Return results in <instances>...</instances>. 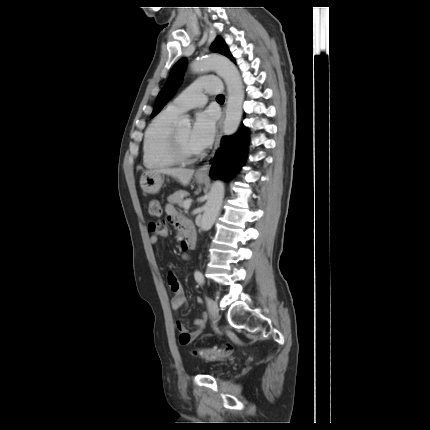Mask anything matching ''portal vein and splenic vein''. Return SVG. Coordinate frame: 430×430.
Masks as SVG:
<instances>
[{"label": "portal vein and splenic vein", "mask_w": 430, "mask_h": 430, "mask_svg": "<svg viewBox=\"0 0 430 430\" xmlns=\"http://www.w3.org/2000/svg\"><path fill=\"white\" fill-rule=\"evenodd\" d=\"M191 203H192V200H191V199H187V200H185V201H184V205H183L184 209H185V210H188V209L190 208V206H191Z\"/></svg>", "instance_id": "1"}]
</instances>
